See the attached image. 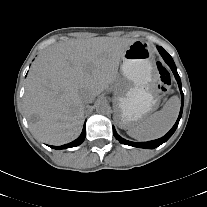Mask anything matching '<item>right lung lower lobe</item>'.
<instances>
[{
    "label": "right lung lower lobe",
    "mask_w": 207,
    "mask_h": 207,
    "mask_svg": "<svg viewBox=\"0 0 207 207\" xmlns=\"http://www.w3.org/2000/svg\"><path fill=\"white\" fill-rule=\"evenodd\" d=\"M85 136H86V129H85V125H84L83 131H82L80 137L77 138L75 141L68 143V144H65V145H62V146H50V147L53 149H57V150L75 147V146L80 145L84 141Z\"/></svg>",
    "instance_id": "1"
}]
</instances>
